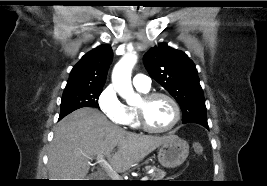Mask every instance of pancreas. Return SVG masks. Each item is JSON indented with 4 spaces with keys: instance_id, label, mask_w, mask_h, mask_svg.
<instances>
[{
    "instance_id": "1",
    "label": "pancreas",
    "mask_w": 267,
    "mask_h": 186,
    "mask_svg": "<svg viewBox=\"0 0 267 186\" xmlns=\"http://www.w3.org/2000/svg\"><path fill=\"white\" fill-rule=\"evenodd\" d=\"M146 169H153V173L149 175V181H160L166 175V172L155 166H146Z\"/></svg>"
}]
</instances>
